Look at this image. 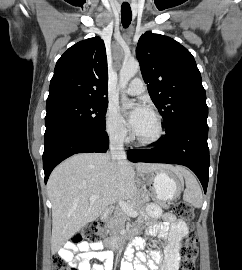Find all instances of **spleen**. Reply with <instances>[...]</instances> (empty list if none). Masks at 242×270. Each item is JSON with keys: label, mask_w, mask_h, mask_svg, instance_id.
Masks as SVG:
<instances>
[{"label": "spleen", "mask_w": 242, "mask_h": 270, "mask_svg": "<svg viewBox=\"0 0 242 270\" xmlns=\"http://www.w3.org/2000/svg\"><path fill=\"white\" fill-rule=\"evenodd\" d=\"M183 175L186 183V189L183 194V199L196 208H200L203 203L201 188L195 177L186 169H178Z\"/></svg>", "instance_id": "3e777b00"}]
</instances>
